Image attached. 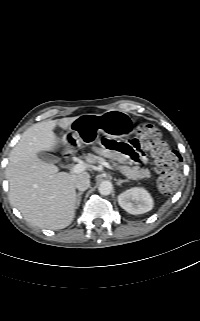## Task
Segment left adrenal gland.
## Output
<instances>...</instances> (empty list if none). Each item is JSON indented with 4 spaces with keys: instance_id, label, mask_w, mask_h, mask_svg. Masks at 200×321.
<instances>
[{
    "instance_id": "obj_1",
    "label": "left adrenal gland",
    "mask_w": 200,
    "mask_h": 321,
    "mask_svg": "<svg viewBox=\"0 0 200 321\" xmlns=\"http://www.w3.org/2000/svg\"><path fill=\"white\" fill-rule=\"evenodd\" d=\"M115 181H116V184L118 185V186H120L123 182H128V180L127 179H125V180H122V179H115Z\"/></svg>"
}]
</instances>
